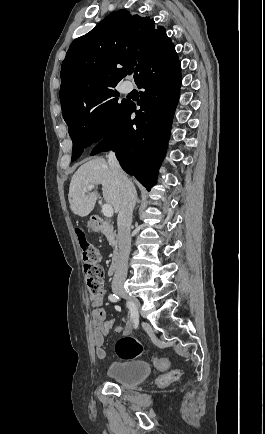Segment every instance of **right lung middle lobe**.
Segmentation results:
<instances>
[{
  "instance_id": "obj_1",
  "label": "right lung middle lobe",
  "mask_w": 265,
  "mask_h": 434,
  "mask_svg": "<svg viewBox=\"0 0 265 434\" xmlns=\"http://www.w3.org/2000/svg\"><path fill=\"white\" fill-rule=\"evenodd\" d=\"M117 83L110 82L61 101L62 114L73 141V161L84 148L107 136L122 122L131 101L118 100L119 94L114 89Z\"/></svg>"
}]
</instances>
